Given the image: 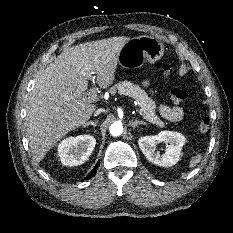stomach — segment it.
Returning <instances> with one entry per match:
<instances>
[{"label":"stomach","instance_id":"1","mask_svg":"<svg viewBox=\"0 0 233 233\" xmlns=\"http://www.w3.org/2000/svg\"><path fill=\"white\" fill-rule=\"evenodd\" d=\"M164 45L151 36L133 37L122 47L118 63L122 68H136L143 62L154 63L162 58Z\"/></svg>","mask_w":233,"mask_h":233}]
</instances>
